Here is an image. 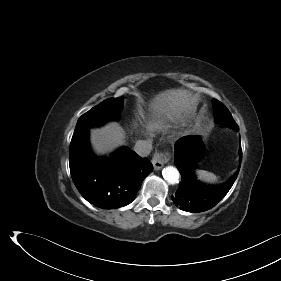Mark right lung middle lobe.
I'll list each match as a JSON object with an SVG mask.
<instances>
[{
    "label": "right lung middle lobe",
    "mask_w": 281,
    "mask_h": 281,
    "mask_svg": "<svg viewBox=\"0 0 281 281\" xmlns=\"http://www.w3.org/2000/svg\"><path fill=\"white\" fill-rule=\"evenodd\" d=\"M122 105L123 97L104 100L78 119L74 133L102 125L108 120L118 119Z\"/></svg>",
    "instance_id": "right-lung-middle-lobe-1"
}]
</instances>
